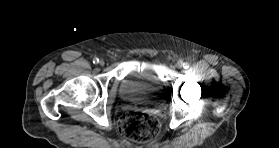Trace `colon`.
<instances>
[{
  "label": "colon",
  "instance_id": "colon-1",
  "mask_svg": "<svg viewBox=\"0 0 279 148\" xmlns=\"http://www.w3.org/2000/svg\"><path fill=\"white\" fill-rule=\"evenodd\" d=\"M120 132L130 140L143 143L155 138L160 131L158 119L139 110L127 111L119 120Z\"/></svg>",
  "mask_w": 279,
  "mask_h": 148
}]
</instances>
